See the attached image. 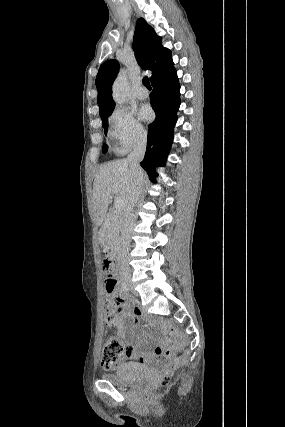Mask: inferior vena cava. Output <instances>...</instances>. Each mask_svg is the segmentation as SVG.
<instances>
[{
    "label": "inferior vena cava",
    "mask_w": 285,
    "mask_h": 427,
    "mask_svg": "<svg viewBox=\"0 0 285 427\" xmlns=\"http://www.w3.org/2000/svg\"><path fill=\"white\" fill-rule=\"evenodd\" d=\"M146 145H147L146 135L139 136L135 142L133 152H131L126 159L134 177L133 191L129 199V202L124 209L122 241H121L122 251L124 256V259L122 262V269L127 274L130 273V267H129L128 261L126 260V257L128 255L129 248H130V232L133 225L132 211L135 204L139 200V197L142 192L144 176H143L142 168L140 167V162L144 158V155L146 152Z\"/></svg>",
    "instance_id": "1"
}]
</instances>
